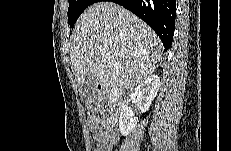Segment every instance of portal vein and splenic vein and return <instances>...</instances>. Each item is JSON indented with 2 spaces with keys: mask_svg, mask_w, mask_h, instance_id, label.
I'll return each mask as SVG.
<instances>
[{
  "mask_svg": "<svg viewBox=\"0 0 231 151\" xmlns=\"http://www.w3.org/2000/svg\"><path fill=\"white\" fill-rule=\"evenodd\" d=\"M105 53H102V55H104ZM113 65H117V63L116 62H111Z\"/></svg>",
  "mask_w": 231,
  "mask_h": 151,
  "instance_id": "obj_1",
  "label": "portal vein and splenic vein"
}]
</instances>
